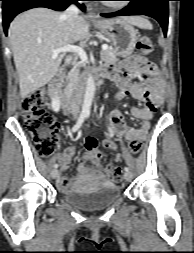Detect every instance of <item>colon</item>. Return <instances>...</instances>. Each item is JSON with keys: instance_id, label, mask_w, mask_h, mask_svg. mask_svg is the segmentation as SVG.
<instances>
[{"instance_id": "5ec220e1", "label": "colon", "mask_w": 194, "mask_h": 253, "mask_svg": "<svg viewBox=\"0 0 194 253\" xmlns=\"http://www.w3.org/2000/svg\"><path fill=\"white\" fill-rule=\"evenodd\" d=\"M138 55L146 56L152 51V41L149 37H141L136 44ZM46 91L44 89L35 90L26 95L21 103V113L23 125L28 130L35 144L37 153L42 157L49 156L58 138L57 122L55 118L45 109ZM98 137H86L85 146L92 151V160L100 161L101 154L96 150ZM142 142L132 140L129 143V150L132 154H138L141 150ZM112 180L119 182L122 178L120 167L112 170Z\"/></svg>"}]
</instances>
